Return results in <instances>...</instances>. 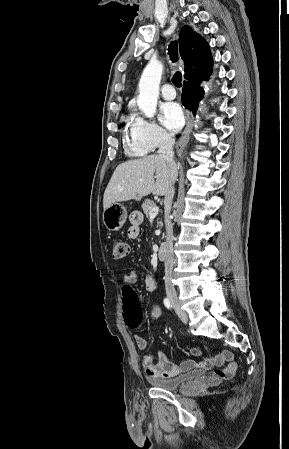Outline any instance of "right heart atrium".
I'll return each mask as SVG.
<instances>
[{
  "instance_id": "1",
  "label": "right heart atrium",
  "mask_w": 289,
  "mask_h": 449,
  "mask_svg": "<svg viewBox=\"0 0 289 449\" xmlns=\"http://www.w3.org/2000/svg\"><path fill=\"white\" fill-rule=\"evenodd\" d=\"M131 137L134 144L144 148L147 152L168 144L171 134L156 122L137 116L131 127Z\"/></svg>"
}]
</instances>
